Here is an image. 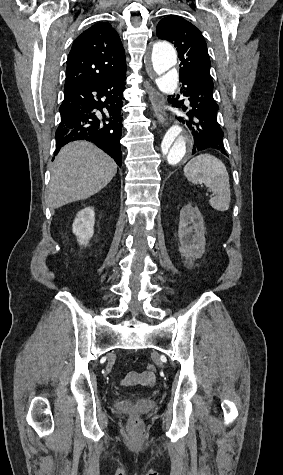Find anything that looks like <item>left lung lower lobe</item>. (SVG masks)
Returning <instances> with one entry per match:
<instances>
[{
    "instance_id": "1",
    "label": "left lung lower lobe",
    "mask_w": 283,
    "mask_h": 475,
    "mask_svg": "<svg viewBox=\"0 0 283 475\" xmlns=\"http://www.w3.org/2000/svg\"><path fill=\"white\" fill-rule=\"evenodd\" d=\"M180 81L183 86L181 92L190 101L192 109L187 112L186 118L177 119L191 130L194 140L192 153L211 148L227 155L223 144L224 133L217 122L218 105L213 98V82L194 76H180Z\"/></svg>"
}]
</instances>
